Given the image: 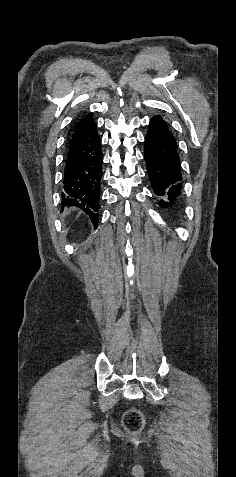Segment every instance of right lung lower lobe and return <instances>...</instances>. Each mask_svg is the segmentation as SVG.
Here are the masks:
<instances>
[{
	"instance_id": "obj_1",
	"label": "right lung lower lobe",
	"mask_w": 236,
	"mask_h": 477,
	"mask_svg": "<svg viewBox=\"0 0 236 477\" xmlns=\"http://www.w3.org/2000/svg\"><path fill=\"white\" fill-rule=\"evenodd\" d=\"M101 141L91 115L72 129L65 159L62 206H76L96 225L102 177Z\"/></svg>"
}]
</instances>
